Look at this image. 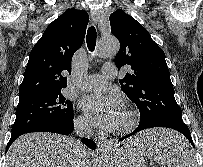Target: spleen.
Returning a JSON list of instances; mask_svg holds the SVG:
<instances>
[{"instance_id":"1","label":"spleen","mask_w":203,"mask_h":167,"mask_svg":"<svg viewBox=\"0 0 203 167\" xmlns=\"http://www.w3.org/2000/svg\"><path fill=\"white\" fill-rule=\"evenodd\" d=\"M148 145L139 152L168 167H197L194 155L181 135L162 130L147 138Z\"/></svg>"}]
</instances>
